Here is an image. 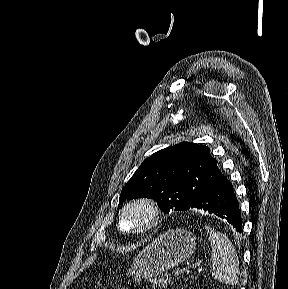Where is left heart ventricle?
Segmentation results:
<instances>
[{
    "mask_svg": "<svg viewBox=\"0 0 288 289\" xmlns=\"http://www.w3.org/2000/svg\"><path fill=\"white\" fill-rule=\"evenodd\" d=\"M145 220V213L141 209L128 211L122 219V227L131 230L140 226Z\"/></svg>",
    "mask_w": 288,
    "mask_h": 289,
    "instance_id": "left-heart-ventricle-1",
    "label": "left heart ventricle"
}]
</instances>
